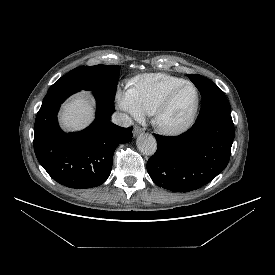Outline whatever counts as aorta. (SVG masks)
Listing matches in <instances>:
<instances>
[{
    "mask_svg": "<svg viewBox=\"0 0 275 275\" xmlns=\"http://www.w3.org/2000/svg\"><path fill=\"white\" fill-rule=\"evenodd\" d=\"M136 144L139 151L144 155H153L157 150L156 139L151 134L143 133L139 135Z\"/></svg>",
    "mask_w": 275,
    "mask_h": 275,
    "instance_id": "aorta-1",
    "label": "aorta"
}]
</instances>
